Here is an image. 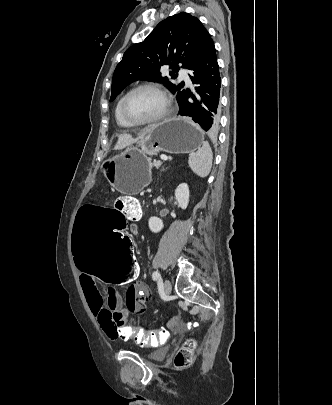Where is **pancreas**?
<instances>
[{"label": "pancreas", "instance_id": "cf45deb5", "mask_svg": "<svg viewBox=\"0 0 332 405\" xmlns=\"http://www.w3.org/2000/svg\"><path fill=\"white\" fill-rule=\"evenodd\" d=\"M161 165H162V162H161V161H154V162L152 163V166H154V167H156V168H159Z\"/></svg>", "mask_w": 332, "mask_h": 405}]
</instances>
